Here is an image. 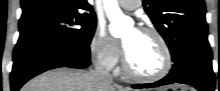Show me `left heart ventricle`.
<instances>
[{
  "instance_id": "left-heart-ventricle-1",
  "label": "left heart ventricle",
  "mask_w": 220,
  "mask_h": 91,
  "mask_svg": "<svg viewBox=\"0 0 220 91\" xmlns=\"http://www.w3.org/2000/svg\"><path fill=\"white\" fill-rule=\"evenodd\" d=\"M123 41L130 68L134 72L151 75L162 68L163 53L153 36L130 29Z\"/></svg>"
}]
</instances>
